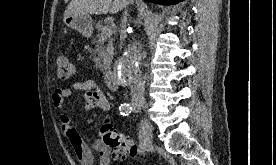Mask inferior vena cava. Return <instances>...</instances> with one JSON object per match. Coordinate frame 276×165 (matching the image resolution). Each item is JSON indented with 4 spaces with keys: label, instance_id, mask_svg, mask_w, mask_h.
Instances as JSON below:
<instances>
[{
    "label": "inferior vena cava",
    "instance_id": "602c4592",
    "mask_svg": "<svg viewBox=\"0 0 276 165\" xmlns=\"http://www.w3.org/2000/svg\"><path fill=\"white\" fill-rule=\"evenodd\" d=\"M131 2V0H125V5L123 8H125L124 14L121 17V23H120V36L122 38L126 37V28H127V6ZM131 97L132 101L134 102H141L143 103L144 98V81L141 78L140 74H134L131 78Z\"/></svg>",
    "mask_w": 276,
    "mask_h": 165
}]
</instances>
